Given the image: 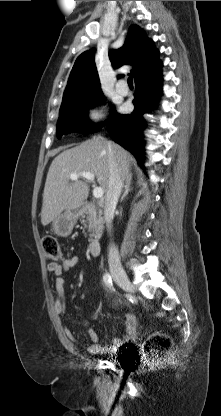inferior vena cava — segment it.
Wrapping results in <instances>:
<instances>
[{
  "label": "inferior vena cava",
  "instance_id": "inferior-vena-cava-1",
  "mask_svg": "<svg viewBox=\"0 0 221 416\" xmlns=\"http://www.w3.org/2000/svg\"><path fill=\"white\" fill-rule=\"evenodd\" d=\"M123 187V181L120 177L116 163L110 160V178L109 188L105 197L104 216L107 223L108 230H111V220L114 217V212L120 197ZM108 264L111 271H121L122 266L120 262L119 252L114 244L109 246L108 250Z\"/></svg>",
  "mask_w": 221,
  "mask_h": 416
}]
</instances>
